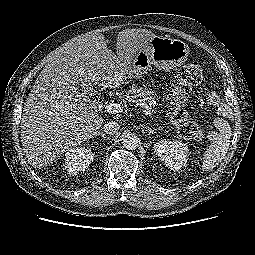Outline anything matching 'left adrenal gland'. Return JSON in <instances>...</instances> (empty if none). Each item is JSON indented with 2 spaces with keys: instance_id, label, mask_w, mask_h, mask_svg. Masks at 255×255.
<instances>
[{
  "instance_id": "a2214340",
  "label": "left adrenal gland",
  "mask_w": 255,
  "mask_h": 255,
  "mask_svg": "<svg viewBox=\"0 0 255 255\" xmlns=\"http://www.w3.org/2000/svg\"><path fill=\"white\" fill-rule=\"evenodd\" d=\"M159 128L160 127L156 128V129H151L149 126L146 127V129L148 130L149 134L154 133V131L159 130Z\"/></svg>"
}]
</instances>
